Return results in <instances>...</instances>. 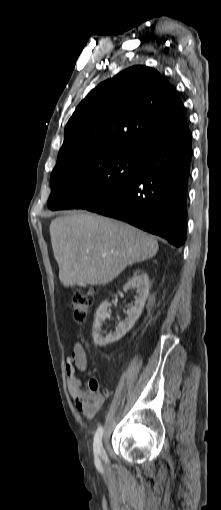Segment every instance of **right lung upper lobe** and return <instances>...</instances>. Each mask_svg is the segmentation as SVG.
<instances>
[{"label":"right lung upper lobe","mask_w":221,"mask_h":510,"mask_svg":"<svg viewBox=\"0 0 221 510\" xmlns=\"http://www.w3.org/2000/svg\"><path fill=\"white\" fill-rule=\"evenodd\" d=\"M181 99L146 66L130 67L94 88L69 119L57 163L81 153L150 145L187 133Z\"/></svg>","instance_id":"right-lung-upper-lobe-1"}]
</instances>
